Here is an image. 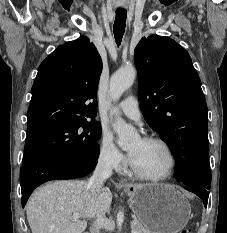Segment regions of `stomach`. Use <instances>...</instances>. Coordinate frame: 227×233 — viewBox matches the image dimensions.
Wrapping results in <instances>:
<instances>
[{
  "label": "stomach",
  "mask_w": 227,
  "mask_h": 233,
  "mask_svg": "<svg viewBox=\"0 0 227 233\" xmlns=\"http://www.w3.org/2000/svg\"><path fill=\"white\" fill-rule=\"evenodd\" d=\"M125 192L134 214L151 233H177L190 219L188 200L171 185H129Z\"/></svg>",
  "instance_id": "1"
}]
</instances>
